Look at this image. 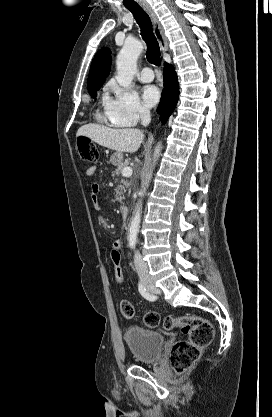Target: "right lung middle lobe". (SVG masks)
<instances>
[{"label": "right lung middle lobe", "instance_id": "1", "mask_svg": "<svg viewBox=\"0 0 272 417\" xmlns=\"http://www.w3.org/2000/svg\"><path fill=\"white\" fill-rule=\"evenodd\" d=\"M89 94L91 95V97L95 98L96 97V92L97 90H92V91H88Z\"/></svg>", "mask_w": 272, "mask_h": 417}]
</instances>
